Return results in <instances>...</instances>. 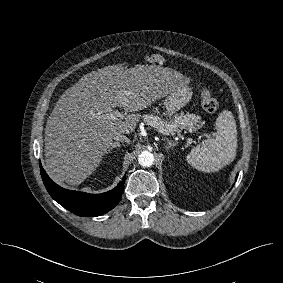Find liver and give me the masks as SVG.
Masks as SVG:
<instances>
[{"label": "liver", "instance_id": "liver-1", "mask_svg": "<svg viewBox=\"0 0 283 283\" xmlns=\"http://www.w3.org/2000/svg\"><path fill=\"white\" fill-rule=\"evenodd\" d=\"M183 76L170 68L106 66L85 74L56 102L45 128V169L56 182L79 185L100 164L116 134L135 131L139 114L112 120L116 107L138 112L168 95Z\"/></svg>", "mask_w": 283, "mask_h": 283}]
</instances>
